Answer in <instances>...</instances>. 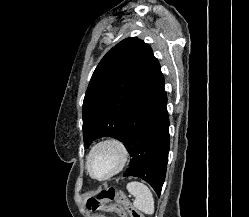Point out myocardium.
<instances>
[{"label":"myocardium","mask_w":249,"mask_h":217,"mask_svg":"<svg viewBox=\"0 0 249 217\" xmlns=\"http://www.w3.org/2000/svg\"><path fill=\"white\" fill-rule=\"evenodd\" d=\"M107 147L112 148L117 152L118 154L117 163L112 168V170L109 171L107 174L103 176H96L92 173L91 170V159L99 149ZM128 159H129V150L126 144L117 137H106L104 139L99 140L90 149L86 157V169L91 178L98 181H105L117 175L119 172H121L123 168L126 166Z\"/></svg>","instance_id":"myocardium-1"}]
</instances>
